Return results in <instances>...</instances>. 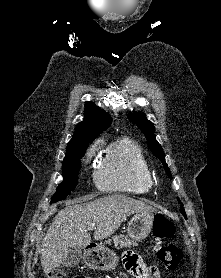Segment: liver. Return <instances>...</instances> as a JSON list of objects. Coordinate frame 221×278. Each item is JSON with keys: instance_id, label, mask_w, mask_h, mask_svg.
I'll use <instances>...</instances> for the list:
<instances>
[{"instance_id": "1", "label": "liver", "mask_w": 221, "mask_h": 278, "mask_svg": "<svg viewBox=\"0 0 221 278\" xmlns=\"http://www.w3.org/2000/svg\"><path fill=\"white\" fill-rule=\"evenodd\" d=\"M83 201L68 202L49 227L40 251L45 274L63 264L70 248L81 250L91 243L90 224H95L94 239L99 241L111 236L130 215L154 211L150 205L120 194Z\"/></svg>"}]
</instances>
